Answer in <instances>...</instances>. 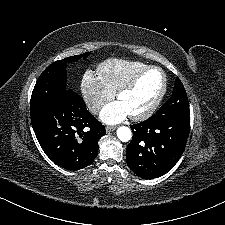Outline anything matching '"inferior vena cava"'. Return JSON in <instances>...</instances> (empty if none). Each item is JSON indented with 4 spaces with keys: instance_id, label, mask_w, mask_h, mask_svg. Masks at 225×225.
Segmentation results:
<instances>
[{
    "instance_id": "1",
    "label": "inferior vena cava",
    "mask_w": 225,
    "mask_h": 225,
    "mask_svg": "<svg viewBox=\"0 0 225 225\" xmlns=\"http://www.w3.org/2000/svg\"><path fill=\"white\" fill-rule=\"evenodd\" d=\"M102 105L103 104L101 102H92L88 104V109L92 113H97L101 109Z\"/></svg>"
}]
</instances>
